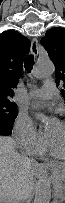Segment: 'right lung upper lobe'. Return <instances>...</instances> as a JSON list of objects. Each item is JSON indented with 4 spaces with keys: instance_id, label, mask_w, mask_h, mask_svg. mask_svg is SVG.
I'll return each instance as SVG.
<instances>
[{
    "instance_id": "cb5924a9",
    "label": "right lung upper lobe",
    "mask_w": 65,
    "mask_h": 203,
    "mask_svg": "<svg viewBox=\"0 0 65 203\" xmlns=\"http://www.w3.org/2000/svg\"><path fill=\"white\" fill-rule=\"evenodd\" d=\"M30 40L15 30L0 34V100L10 101L23 70L24 56L29 52Z\"/></svg>"
}]
</instances>
